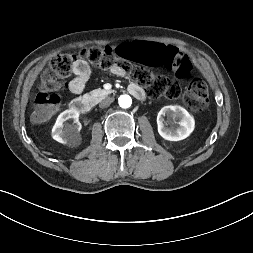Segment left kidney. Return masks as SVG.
Here are the masks:
<instances>
[{
  "instance_id": "left-kidney-1",
  "label": "left kidney",
  "mask_w": 253,
  "mask_h": 253,
  "mask_svg": "<svg viewBox=\"0 0 253 253\" xmlns=\"http://www.w3.org/2000/svg\"><path fill=\"white\" fill-rule=\"evenodd\" d=\"M178 121L177 127H168L164 117ZM158 133L168 141H180L187 138L194 130L195 121L186 109L178 105L164 106L157 115Z\"/></svg>"
}]
</instances>
